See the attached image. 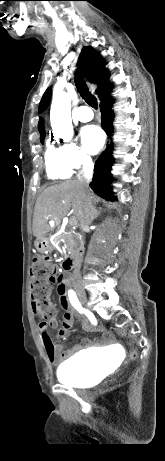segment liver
Returning <instances> with one entry per match:
<instances>
[{
    "label": "liver",
    "mask_w": 165,
    "mask_h": 461,
    "mask_svg": "<svg viewBox=\"0 0 165 461\" xmlns=\"http://www.w3.org/2000/svg\"><path fill=\"white\" fill-rule=\"evenodd\" d=\"M84 207L85 194L78 180H67L49 186L36 201L33 235L37 239L45 236L52 229L48 221L59 225L69 211L80 221L84 214Z\"/></svg>",
    "instance_id": "1"
}]
</instances>
